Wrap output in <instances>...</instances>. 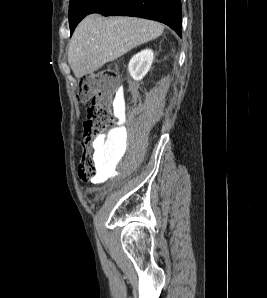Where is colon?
Wrapping results in <instances>:
<instances>
[{
    "label": "colon",
    "instance_id": "1",
    "mask_svg": "<svg viewBox=\"0 0 267 298\" xmlns=\"http://www.w3.org/2000/svg\"><path fill=\"white\" fill-rule=\"evenodd\" d=\"M117 80V72L114 69H106L83 77L76 92L79 102H91L82 124L83 152L78 166V175L83 181L92 180L98 176L92 148H99L102 132L116 123L111 114V103L117 88Z\"/></svg>",
    "mask_w": 267,
    "mask_h": 298
}]
</instances>
